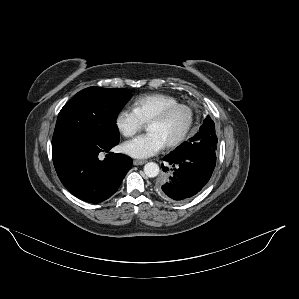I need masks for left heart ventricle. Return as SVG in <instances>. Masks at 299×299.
Segmentation results:
<instances>
[{
    "label": "left heart ventricle",
    "instance_id": "obj_1",
    "mask_svg": "<svg viewBox=\"0 0 299 299\" xmlns=\"http://www.w3.org/2000/svg\"><path fill=\"white\" fill-rule=\"evenodd\" d=\"M188 119V112L184 109H180L171 114L163 122L148 124L147 130L148 132L157 133L166 144L180 134V132L186 126Z\"/></svg>",
    "mask_w": 299,
    "mask_h": 299
}]
</instances>
